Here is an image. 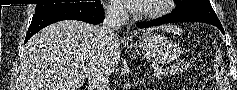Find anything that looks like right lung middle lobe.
I'll return each mask as SVG.
<instances>
[{"mask_svg":"<svg viewBox=\"0 0 237 90\" xmlns=\"http://www.w3.org/2000/svg\"><path fill=\"white\" fill-rule=\"evenodd\" d=\"M96 2H99V1H96ZM93 3L94 2H91V3L78 2V3H59V4H37L35 13H41V12L53 10V9L60 8V7L70 6V5H89V4H93Z\"/></svg>","mask_w":237,"mask_h":90,"instance_id":"obj_1","label":"right lung middle lobe"}]
</instances>
